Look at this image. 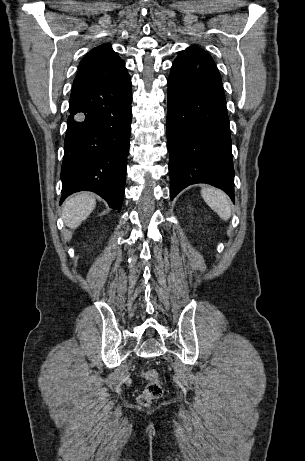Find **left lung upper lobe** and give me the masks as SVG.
<instances>
[{"instance_id": "1", "label": "left lung upper lobe", "mask_w": 305, "mask_h": 461, "mask_svg": "<svg viewBox=\"0 0 305 461\" xmlns=\"http://www.w3.org/2000/svg\"><path fill=\"white\" fill-rule=\"evenodd\" d=\"M188 49H194V50L204 51V50H202V49H200V48H198V47H190V48H188Z\"/></svg>"}]
</instances>
